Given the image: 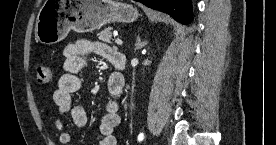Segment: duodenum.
<instances>
[{"label": "duodenum", "mask_w": 276, "mask_h": 145, "mask_svg": "<svg viewBox=\"0 0 276 145\" xmlns=\"http://www.w3.org/2000/svg\"><path fill=\"white\" fill-rule=\"evenodd\" d=\"M111 62L116 68V73L111 76L109 86L111 89L121 92L125 85V78L122 71L126 67L127 57L124 53L115 52L111 58Z\"/></svg>", "instance_id": "obj_1"}]
</instances>
